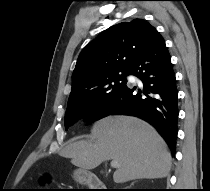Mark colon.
I'll use <instances>...</instances> for the list:
<instances>
[{
    "instance_id": "colon-1",
    "label": "colon",
    "mask_w": 210,
    "mask_h": 191,
    "mask_svg": "<svg viewBox=\"0 0 210 191\" xmlns=\"http://www.w3.org/2000/svg\"><path fill=\"white\" fill-rule=\"evenodd\" d=\"M46 183V180L43 181V185ZM36 191H56V190H48L44 187H42L40 190H36Z\"/></svg>"
}]
</instances>
